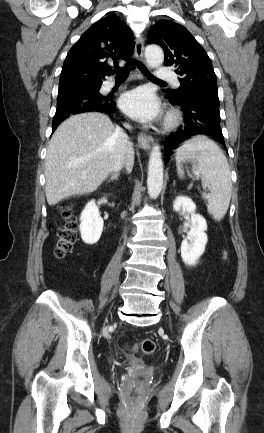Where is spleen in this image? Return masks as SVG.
Segmentation results:
<instances>
[{
    "instance_id": "3e777b00",
    "label": "spleen",
    "mask_w": 264,
    "mask_h": 433,
    "mask_svg": "<svg viewBox=\"0 0 264 433\" xmlns=\"http://www.w3.org/2000/svg\"><path fill=\"white\" fill-rule=\"evenodd\" d=\"M175 159L179 177L184 176L182 162L194 163L193 171L210 187V193H202L208 212L220 221L228 210L232 192L231 172L220 147L205 136H195L176 150Z\"/></svg>"
}]
</instances>
